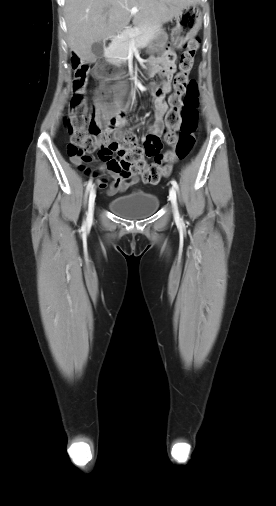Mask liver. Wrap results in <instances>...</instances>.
I'll return each mask as SVG.
<instances>
[{"label": "liver", "instance_id": "liver-1", "mask_svg": "<svg viewBox=\"0 0 276 506\" xmlns=\"http://www.w3.org/2000/svg\"><path fill=\"white\" fill-rule=\"evenodd\" d=\"M199 0H66L68 46L81 60L95 62L92 44L126 28L133 17L137 25L171 21L186 6ZM137 7L136 14L131 9Z\"/></svg>", "mask_w": 276, "mask_h": 506}]
</instances>
